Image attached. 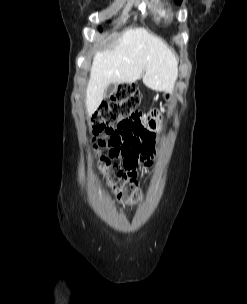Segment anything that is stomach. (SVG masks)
<instances>
[{"label": "stomach", "instance_id": "1", "mask_svg": "<svg viewBox=\"0 0 247 304\" xmlns=\"http://www.w3.org/2000/svg\"><path fill=\"white\" fill-rule=\"evenodd\" d=\"M163 97H164V100L166 102H172L173 101V94H172V92H164Z\"/></svg>", "mask_w": 247, "mask_h": 304}]
</instances>
